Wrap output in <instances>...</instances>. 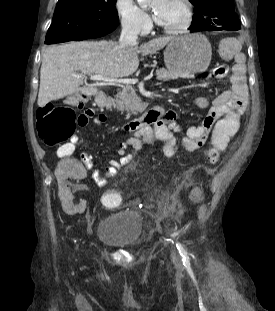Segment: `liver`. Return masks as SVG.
I'll return each instance as SVG.
<instances>
[{"label": "liver", "mask_w": 275, "mask_h": 311, "mask_svg": "<svg viewBox=\"0 0 275 311\" xmlns=\"http://www.w3.org/2000/svg\"><path fill=\"white\" fill-rule=\"evenodd\" d=\"M174 37H159L143 44L121 46L113 41H80L48 47L40 70L38 106L76 92L96 95L95 86L81 87L83 79L78 72L100 74L109 78L126 77L139 66V53L146 56L165 47Z\"/></svg>", "instance_id": "liver-1"}]
</instances>
